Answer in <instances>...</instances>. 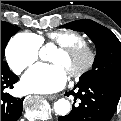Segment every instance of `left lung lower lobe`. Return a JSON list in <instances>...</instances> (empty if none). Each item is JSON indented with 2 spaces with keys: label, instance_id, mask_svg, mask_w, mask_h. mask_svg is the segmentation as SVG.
Returning a JSON list of instances; mask_svg holds the SVG:
<instances>
[{
  "label": "left lung lower lobe",
  "instance_id": "obj_1",
  "mask_svg": "<svg viewBox=\"0 0 121 121\" xmlns=\"http://www.w3.org/2000/svg\"><path fill=\"white\" fill-rule=\"evenodd\" d=\"M74 89L66 92L73 95L74 100L80 99L79 106H74L66 116L59 121H110L119 102L121 91L113 86L98 82L77 83ZM75 103V102H74Z\"/></svg>",
  "mask_w": 121,
  "mask_h": 121
}]
</instances>
